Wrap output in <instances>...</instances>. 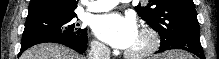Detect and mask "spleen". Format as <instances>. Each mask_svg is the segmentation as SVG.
Segmentation results:
<instances>
[{"label":"spleen","instance_id":"1","mask_svg":"<svg viewBox=\"0 0 219 59\" xmlns=\"http://www.w3.org/2000/svg\"><path fill=\"white\" fill-rule=\"evenodd\" d=\"M172 55L171 59H190L189 56L184 53L175 52Z\"/></svg>","mask_w":219,"mask_h":59}]
</instances>
